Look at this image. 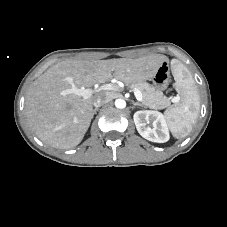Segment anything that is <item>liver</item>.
Here are the masks:
<instances>
[{
	"mask_svg": "<svg viewBox=\"0 0 227 227\" xmlns=\"http://www.w3.org/2000/svg\"><path fill=\"white\" fill-rule=\"evenodd\" d=\"M166 57L159 54L136 59H67L39 76L25 94L24 115L28 128L45 144L57 149L77 146L93 118V103L107 92L88 99L65 94L71 81L77 88L105 83L112 77L126 84L150 80Z\"/></svg>",
	"mask_w": 227,
	"mask_h": 227,
	"instance_id": "1",
	"label": "liver"
}]
</instances>
